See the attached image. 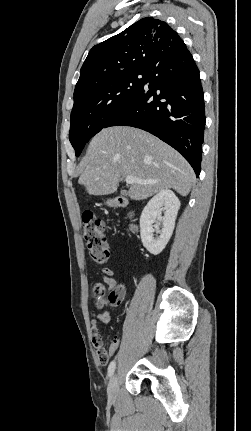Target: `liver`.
<instances>
[{"mask_svg": "<svg viewBox=\"0 0 251 431\" xmlns=\"http://www.w3.org/2000/svg\"><path fill=\"white\" fill-rule=\"evenodd\" d=\"M127 176L152 181L131 184L128 196L132 200H144L169 188L187 196L195 179L189 163L157 137L133 127L105 128L88 146L79 184L90 195H109Z\"/></svg>", "mask_w": 251, "mask_h": 431, "instance_id": "liver-1", "label": "liver"}]
</instances>
